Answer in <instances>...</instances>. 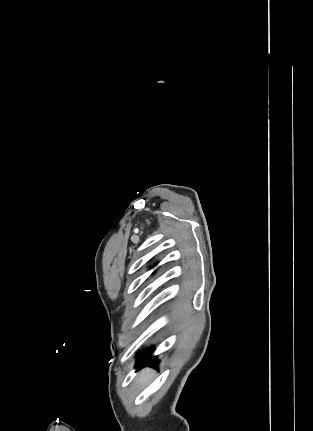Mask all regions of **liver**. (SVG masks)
<instances>
[{"label":"liver","mask_w":313,"mask_h":431,"mask_svg":"<svg viewBox=\"0 0 313 431\" xmlns=\"http://www.w3.org/2000/svg\"><path fill=\"white\" fill-rule=\"evenodd\" d=\"M152 375H153V371L151 369L147 368L143 370L139 375V377L137 378V383H140L142 385L147 383L149 379L152 377Z\"/></svg>","instance_id":"obj_1"}]
</instances>
